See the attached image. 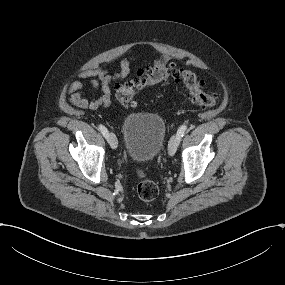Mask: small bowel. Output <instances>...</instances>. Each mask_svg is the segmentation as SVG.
<instances>
[{
	"label": "small bowel",
	"mask_w": 285,
	"mask_h": 285,
	"mask_svg": "<svg viewBox=\"0 0 285 285\" xmlns=\"http://www.w3.org/2000/svg\"><path fill=\"white\" fill-rule=\"evenodd\" d=\"M171 60L172 57L164 55L152 60L150 64L161 66ZM130 72L131 62L127 58L121 60L119 72L113 75L109 74L103 66L81 70L78 73L80 80L70 83L66 88V91L70 94L68 100L72 105L81 109L105 110L112 103L113 87L125 79ZM86 84L90 86L92 91H100L101 95L95 99L87 98L83 94V88Z\"/></svg>",
	"instance_id": "obj_1"
}]
</instances>
